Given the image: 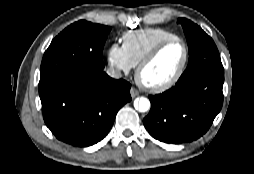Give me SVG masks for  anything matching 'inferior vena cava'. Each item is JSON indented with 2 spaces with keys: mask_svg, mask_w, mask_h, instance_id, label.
Here are the masks:
<instances>
[{
  "mask_svg": "<svg viewBox=\"0 0 254 174\" xmlns=\"http://www.w3.org/2000/svg\"><path fill=\"white\" fill-rule=\"evenodd\" d=\"M106 72L110 77L115 79H119L122 76L121 71L115 67H109Z\"/></svg>",
  "mask_w": 254,
  "mask_h": 174,
  "instance_id": "602c4592",
  "label": "inferior vena cava"
}]
</instances>
